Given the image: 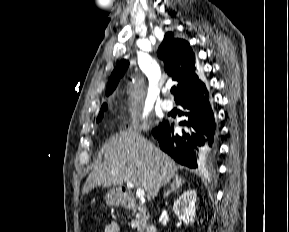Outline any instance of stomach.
Listing matches in <instances>:
<instances>
[{"label": "stomach", "instance_id": "0dacf381", "mask_svg": "<svg viewBox=\"0 0 289 232\" xmlns=\"http://www.w3.org/2000/svg\"><path fill=\"white\" fill-rule=\"evenodd\" d=\"M122 197L116 191H110L107 194L106 201L109 205H114L121 202Z\"/></svg>", "mask_w": 289, "mask_h": 232}]
</instances>
